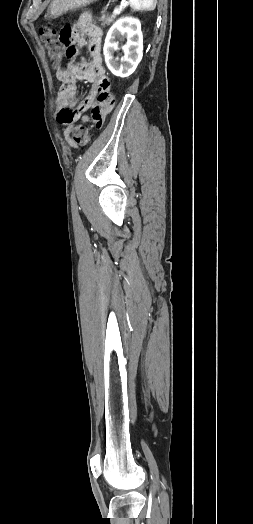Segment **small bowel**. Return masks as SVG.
Returning <instances> with one entry per match:
<instances>
[{"label":"small bowel","mask_w":253,"mask_h":524,"mask_svg":"<svg viewBox=\"0 0 253 524\" xmlns=\"http://www.w3.org/2000/svg\"><path fill=\"white\" fill-rule=\"evenodd\" d=\"M102 29L95 25L90 15H83L74 24H64L58 33V42L63 44L62 58L64 62H77L80 51L78 46H86L90 54L89 62L68 64L57 71L61 87L57 94V104L60 111H66L67 121L61 122L62 134L69 142L71 125L77 119L93 123L96 127H105L109 110L117 104V97L110 87L105 75L101 56ZM86 81L92 84L90 92L78 105L76 111H71L78 103L76 98L77 81ZM92 109L90 115L83 114Z\"/></svg>","instance_id":"obj_1"}]
</instances>
